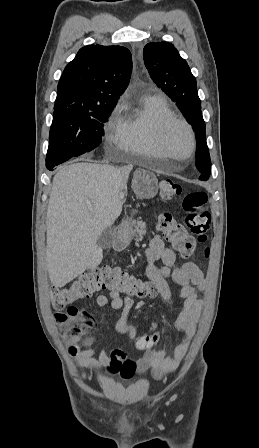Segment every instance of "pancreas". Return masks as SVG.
<instances>
[{"label":"pancreas","mask_w":259,"mask_h":448,"mask_svg":"<svg viewBox=\"0 0 259 448\" xmlns=\"http://www.w3.org/2000/svg\"><path fill=\"white\" fill-rule=\"evenodd\" d=\"M138 220H141V218H138ZM133 224H135L134 228H136V232L138 234V236H136V240L137 242H140L146 234V224L145 222H133Z\"/></svg>","instance_id":"cf45deb5"}]
</instances>
